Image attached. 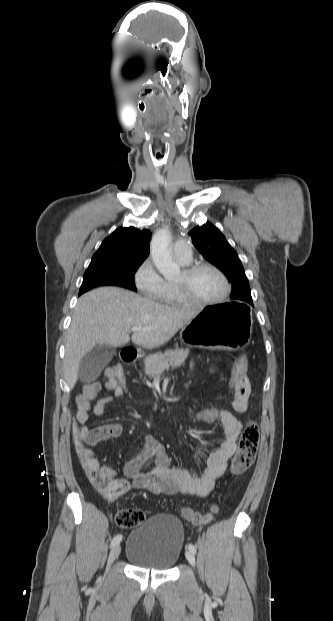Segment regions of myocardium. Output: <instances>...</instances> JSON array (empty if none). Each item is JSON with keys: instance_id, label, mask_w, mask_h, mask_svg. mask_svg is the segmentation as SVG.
I'll return each instance as SVG.
<instances>
[{"instance_id": "obj_1", "label": "myocardium", "mask_w": 333, "mask_h": 621, "mask_svg": "<svg viewBox=\"0 0 333 621\" xmlns=\"http://www.w3.org/2000/svg\"><path fill=\"white\" fill-rule=\"evenodd\" d=\"M201 270H211L222 279L225 288H224L223 293L219 297L215 299H210V300H201L191 295L188 289L187 279ZM183 273L185 276V280L181 282H175V288L179 296L181 297V299L187 304L198 305V306L215 305V304L224 302L231 293L232 286H231L229 279L227 278V276L221 269H219L217 266L213 264H210V263L192 264V265L185 267L183 269Z\"/></svg>"}]
</instances>
